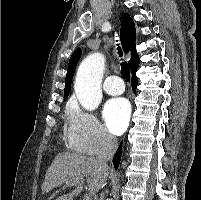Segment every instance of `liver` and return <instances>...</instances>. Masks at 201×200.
<instances>
[{
    "label": "liver",
    "mask_w": 201,
    "mask_h": 200,
    "mask_svg": "<svg viewBox=\"0 0 201 200\" xmlns=\"http://www.w3.org/2000/svg\"><path fill=\"white\" fill-rule=\"evenodd\" d=\"M108 175V169H103L94 157L70 152L60 153L46 172L42 194L50 192L67 181H75L77 184L74 185V190L56 199L73 200L81 193L87 179L88 191L91 195H95L104 186Z\"/></svg>",
    "instance_id": "obj_1"
}]
</instances>
